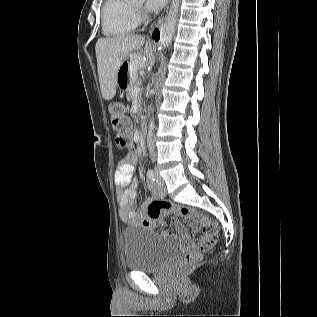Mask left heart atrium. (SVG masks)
I'll return each instance as SVG.
<instances>
[{
    "instance_id": "39dd6f15",
    "label": "left heart atrium",
    "mask_w": 317,
    "mask_h": 317,
    "mask_svg": "<svg viewBox=\"0 0 317 317\" xmlns=\"http://www.w3.org/2000/svg\"><path fill=\"white\" fill-rule=\"evenodd\" d=\"M166 3V0H146V9L154 12L161 9Z\"/></svg>"
}]
</instances>
